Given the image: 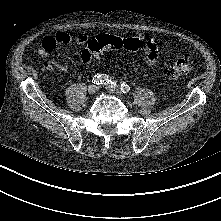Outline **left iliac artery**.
Listing matches in <instances>:
<instances>
[{
    "instance_id": "obj_1",
    "label": "left iliac artery",
    "mask_w": 221,
    "mask_h": 221,
    "mask_svg": "<svg viewBox=\"0 0 221 221\" xmlns=\"http://www.w3.org/2000/svg\"><path fill=\"white\" fill-rule=\"evenodd\" d=\"M111 84H113V82H111ZM121 91L123 93L129 92L130 91V86L128 84H126V83H122L121 84Z\"/></svg>"
}]
</instances>
